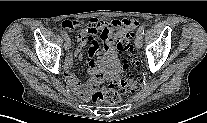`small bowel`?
<instances>
[{"label":"small bowel","instance_id":"small-bowel-1","mask_svg":"<svg viewBox=\"0 0 207 123\" xmlns=\"http://www.w3.org/2000/svg\"><path fill=\"white\" fill-rule=\"evenodd\" d=\"M84 26L78 36L77 48L69 53L65 59V74L68 85L76 96L83 101H89L92 93L96 90L103 77L109 69L119 70L120 65L117 60V51L115 41L117 38L130 29H135L138 25L133 19H112L103 21L97 18H92L87 24L79 20H65L61 23V28L72 30L78 26ZM102 44V49L96 36ZM89 41V55L94 58L89 64L88 81L83 84L76 75L72 72L74 57L80 55L85 43Z\"/></svg>","mask_w":207,"mask_h":123}]
</instances>
